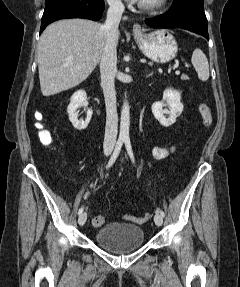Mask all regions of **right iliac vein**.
I'll use <instances>...</instances> for the list:
<instances>
[{
  "mask_svg": "<svg viewBox=\"0 0 240 287\" xmlns=\"http://www.w3.org/2000/svg\"><path fill=\"white\" fill-rule=\"evenodd\" d=\"M110 154H111V149H107V150L105 151V155H106V156H109ZM86 219H87L86 213H85V212L81 213V214L79 215V218H78V224H79L80 226H83V225L85 224V222H86Z\"/></svg>",
  "mask_w": 240,
  "mask_h": 287,
  "instance_id": "obj_1",
  "label": "right iliac vein"
}]
</instances>
